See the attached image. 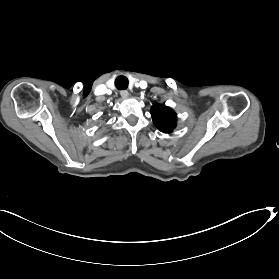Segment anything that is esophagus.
Returning a JSON list of instances; mask_svg holds the SVG:
<instances>
[{"mask_svg":"<svg viewBox=\"0 0 279 279\" xmlns=\"http://www.w3.org/2000/svg\"><path fill=\"white\" fill-rule=\"evenodd\" d=\"M120 95L122 96V98H127L129 96V93L127 90H122L120 92Z\"/></svg>","mask_w":279,"mask_h":279,"instance_id":"esophagus-1","label":"esophagus"}]
</instances>
